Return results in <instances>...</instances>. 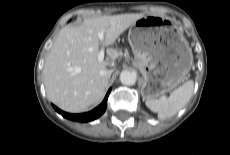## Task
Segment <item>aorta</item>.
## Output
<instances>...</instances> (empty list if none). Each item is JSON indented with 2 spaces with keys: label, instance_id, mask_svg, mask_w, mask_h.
Wrapping results in <instances>:
<instances>
[{
  "label": "aorta",
  "instance_id": "obj_1",
  "mask_svg": "<svg viewBox=\"0 0 230 155\" xmlns=\"http://www.w3.org/2000/svg\"><path fill=\"white\" fill-rule=\"evenodd\" d=\"M136 74L131 71H122L120 74V81L124 85L132 86L136 83Z\"/></svg>",
  "mask_w": 230,
  "mask_h": 155
}]
</instances>
